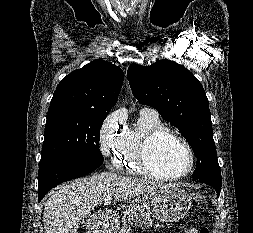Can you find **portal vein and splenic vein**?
Returning a JSON list of instances; mask_svg holds the SVG:
<instances>
[{
	"label": "portal vein and splenic vein",
	"mask_w": 253,
	"mask_h": 233,
	"mask_svg": "<svg viewBox=\"0 0 253 233\" xmlns=\"http://www.w3.org/2000/svg\"><path fill=\"white\" fill-rule=\"evenodd\" d=\"M111 199H112L111 196H109V195L106 196V197L104 198V203H105V204L109 203V202L111 201Z\"/></svg>",
	"instance_id": "portal-vein-and-splenic-vein-1"
}]
</instances>
